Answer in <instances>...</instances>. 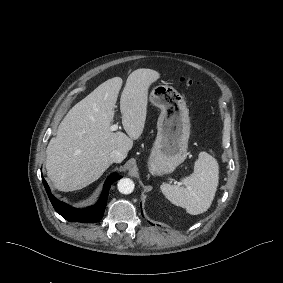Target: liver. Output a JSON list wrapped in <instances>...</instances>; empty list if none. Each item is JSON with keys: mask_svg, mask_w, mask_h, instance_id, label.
Instances as JSON below:
<instances>
[{"mask_svg": "<svg viewBox=\"0 0 283 283\" xmlns=\"http://www.w3.org/2000/svg\"><path fill=\"white\" fill-rule=\"evenodd\" d=\"M159 77L157 71L145 68L128 76L120 99L122 125L128 136L110 130L122 86L120 77L100 84L69 110L46 149L47 175L56 189L69 192L96 181L113 163V150L127 156L144 129L148 88Z\"/></svg>", "mask_w": 283, "mask_h": 283, "instance_id": "liver-1", "label": "liver"}]
</instances>
